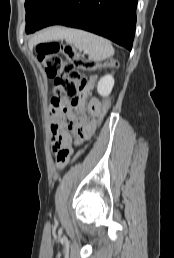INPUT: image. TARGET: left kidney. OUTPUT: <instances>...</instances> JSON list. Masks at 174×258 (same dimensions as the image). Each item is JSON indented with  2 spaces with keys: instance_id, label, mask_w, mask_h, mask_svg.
<instances>
[{
  "instance_id": "1",
  "label": "left kidney",
  "mask_w": 174,
  "mask_h": 258,
  "mask_svg": "<svg viewBox=\"0 0 174 258\" xmlns=\"http://www.w3.org/2000/svg\"><path fill=\"white\" fill-rule=\"evenodd\" d=\"M114 86V78L111 74L103 76L98 84L97 91L101 96H108Z\"/></svg>"
}]
</instances>
